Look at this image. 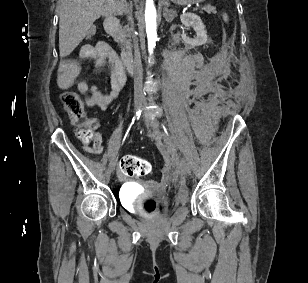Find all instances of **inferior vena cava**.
I'll return each instance as SVG.
<instances>
[{"mask_svg": "<svg viewBox=\"0 0 308 283\" xmlns=\"http://www.w3.org/2000/svg\"><path fill=\"white\" fill-rule=\"evenodd\" d=\"M125 13L127 15V23L129 25V35H131V44L134 45V55H135V75H134V84L136 87L140 86L142 83V65H141V59H140V53L137 46L138 38L136 34H134V22L132 20V5L128 4L125 5Z\"/></svg>", "mask_w": 308, "mask_h": 283, "instance_id": "602c4592", "label": "inferior vena cava"}]
</instances>
